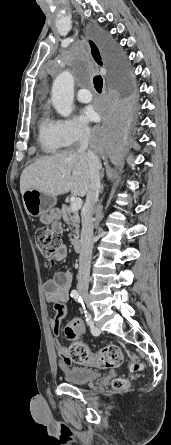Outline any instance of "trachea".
I'll use <instances>...</instances> for the list:
<instances>
[{"mask_svg": "<svg viewBox=\"0 0 171 445\" xmlns=\"http://www.w3.org/2000/svg\"><path fill=\"white\" fill-rule=\"evenodd\" d=\"M93 83H94V87H95L96 91L98 93H101L102 87H103L102 77L101 76H95L94 80H93Z\"/></svg>", "mask_w": 171, "mask_h": 445, "instance_id": "1", "label": "trachea"}]
</instances>
